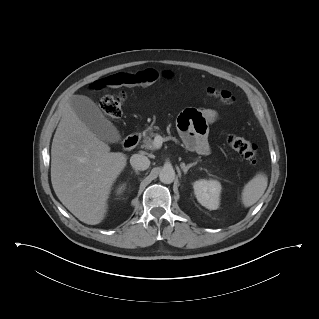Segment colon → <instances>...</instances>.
I'll return each instance as SVG.
<instances>
[{"label":"colon","instance_id":"1","mask_svg":"<svg viewBox=\"0 0 319 319\" xmlns=\"http://www.w3.org/2000/svg\"><path fill=\"white\" fill-rule=\"evenodd\" d=\"M120 79L125 81L123 78ZM207 93L217 99L221 104L229 105L233 102V96L228 91L209 88L207 89ZM125 99L126 95L124 92H120L117 95H106L100 99L99 106L108 118L116 119L122 115ZM226 141L228 145L241 154L250 165L257 163L259 151L255 144L232 133L226 136Z\"/></svg>","mask_w":319,"mask_h":319}]
</instances>
